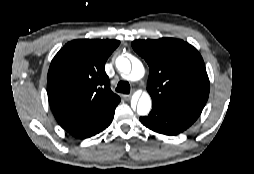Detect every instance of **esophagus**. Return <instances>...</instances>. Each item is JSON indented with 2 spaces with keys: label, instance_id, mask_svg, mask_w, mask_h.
<instances>
[{
  "label": "esophagus",
  "instance_id": "34e87169",
  "mask_svg": "<svg viewBox=\"0 0 254 174\" xmlns=\"http://www.w3.org/2000/svg\"><path fill=\"white\" fill-rule=\"evenodd\" d=\"M123 98L128 101L131 99V95L130 94H127V95H123Z\"/></svg>",
  "mask_w": 254,
  "mask_h": 174
}]
</instances>
